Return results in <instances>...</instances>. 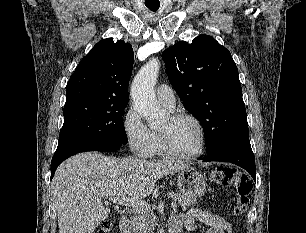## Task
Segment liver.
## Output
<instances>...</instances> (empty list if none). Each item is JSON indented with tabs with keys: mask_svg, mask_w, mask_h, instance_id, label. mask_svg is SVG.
<instances>
[{
	"mask_svg": "<svg viewBox=\"0 0 306 233\" xmlns=\"http://www.w3.org/2000/svg\"><path fill=\"white\" fill-rule=\"evenodd\" d=\"M186 167L179 160L113 158L97 152L67 159L51 184L59 233H93L110 213L103 197L123 193L128 198H145L158 179Z\"/></svg>",
	"mask_w": 306,
	"mask_h": 233,
	"instance_id": "1",
	"label": "liver"
}]
</instances>
